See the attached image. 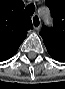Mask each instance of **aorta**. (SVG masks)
Returning <instances> with one entry per match:
<instances>
[{
    "label": "aorta",
    "mask_w": 65,
    "mask_h": 89,
    "mask_svg": "<svg viewBox=\"0 0 65 89\" xmlns=\"http://www.w3.org/2000/svg\"><path fill=\"white\" fill-rule=\"evenodd\" d=\"M49 17V14L47 13L45 16H44V19H48Z\"/></svg>",
    "instance_id": "762f6f07"
}]
</instances>
